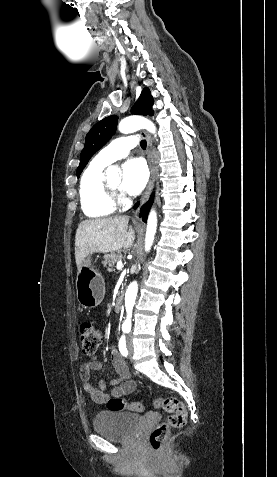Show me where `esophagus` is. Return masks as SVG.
<instances>
[{"mask_svg":"<svg viewBox=\"0 0 277 477\" xmlns=\"http://www.w3.org/2000/svg\"><path fill=\"white\" fill-rule=\"evenodd\" d=\"M142 136L146 139L147 141V160H148V165H149V170H150V177L149 181L147 184V187L140 199V206H142L149 198L150 192L153 188L154 185V180H155V168H154V160H153V151H152V141L150 135L146 132L143 131ZM139 211V209H138ZM138 211L135 212L134 221L138 220Z\"/></svg>","mask_w":277,"mask_h":477,"instance_id":"esophagus-1","label":"esophagus"}]
</instances>
